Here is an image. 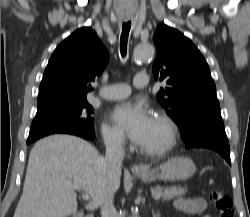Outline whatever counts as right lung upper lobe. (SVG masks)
<instances>
[{"instance_id": "right-lung-upper-lobe-1", "label": "right lung upper lobe", "mask_w": 250, "mask_h": 217, "mask_svg": "<svg viewBox=\"0 0 250 217\" xmlns=\"http://www.w3.org/2000/svg\"><path fill=\"white\" fill-rule=\"evenodd\" d=\"M109 59L95 31L83 27L58 45L45 69L37 110L57 104L84 100L91 82Z\"/></svg>"}]
</instances>
